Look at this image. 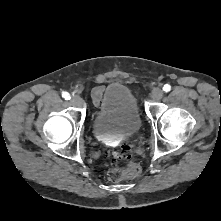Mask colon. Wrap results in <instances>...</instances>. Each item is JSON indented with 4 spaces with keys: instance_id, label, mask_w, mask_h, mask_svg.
Listing matches in <instances>:
<instances>
[{
    "instance_id": "1",
    "label": "colon",
    "mask_w": 221,
    "mask_h": 221,
    "mask_svg": "<svg viewBox=\"0 0 221 221\" xmlns=\"http://www.w3.org/2000/svg\"><path fill=\"white\" fill-rule=\"evenodd\" d=\"M110 158L112 162H116L119 159H127L129 160L127 165L124 168H120L117 166H113L108 171V179L112 182H120L124 179L135 178L141 173V166L130 160L131 153L130 147L127 145L122 146L119 152H112L110 154Z\"/></svg>"
}]
</instances>
